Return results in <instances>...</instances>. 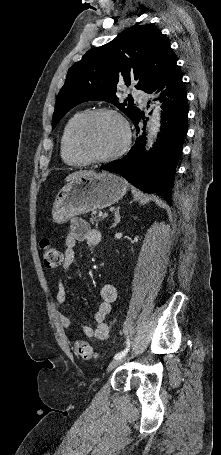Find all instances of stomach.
Segmentation results:
<instances>
[{"label":"stomach","mask_w":221,"mask_h":455,"mask_svg":"<svg viewBox=\"0 0 221 455\" xmlns=\"http://www.w3.org/2000/svg\"><path fill=\"white\" fill-rule=\"evenodd\" d=\"M126 192V182L109 172L74 179L58 192L52 208L53 220L63 224L73 216L109 207Z\"/></svg>","instance_id":"stomach-1"}]
</instances>
